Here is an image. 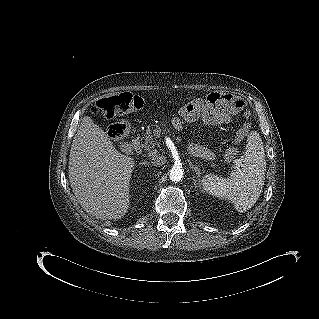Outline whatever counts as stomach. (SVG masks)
<instances>
[{"mask_svg": "<svg viewBox=\"0 0 319 319\" xmlns=\"http://www.w3.org/2000/svg\"><path fill=\"white\" fill-rule=\"evenodd\" d=\"M202 113V107L196 102H189L180 109V115L188 123L200 120Z\"/></svg>", "mask_w": 319, "mask_h": 319, "instance_id": "0dacf381", "label": "stomach"}]
</instances>
